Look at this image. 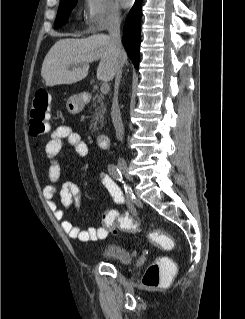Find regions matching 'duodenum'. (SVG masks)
Segmentation results:
<instances>
[{"mask_svg":"<svg viewBox=\"0 0 245 319\" xmlns=\"http://www.w3.org/2000/svg\"><path fill=\"white\" fill-rule=\"evenodd\" d=\"M98 146L101 149H109L110 148V136L107 133H102L97 138Z\"/></svg>","mask_w":245,"mask_h":319,"instance_id":"obj_1","label":"duodenum"}]
</instances>
